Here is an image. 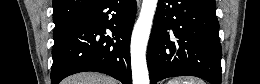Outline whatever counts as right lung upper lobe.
Here are the masks:
<instances>
[{
  "mask_svg": "<svg viewBox=\"0 0 260 84\" xmlns=\"http://www.w3.org/2000/svg\"><path fill=\"white\" fill-rule=\"evenodd\" d=\"M98 0H53V20L58 29L83 13Z\"/></svg>",
  "mask_w": 260,
  "mask_h": 84,
  "instance_id": "1",
  "label": "right lung upper lobe"
}]
</instances>
